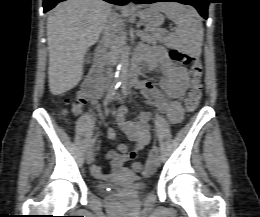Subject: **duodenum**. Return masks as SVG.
I'll return each mask as SVG.
<instances>
[{
  "label": "duodenum",
  "instance_id": "duodenum-1",
  "mask_svg": "<svg viewBox=\"0 0 260 217\" xmlns=\"http://www.w3.org/2000/svg\"><path fill=\"white\" fill-rule=\"evenodd\" d=\"M141 68L135 62L132 66V70L127 76L126 82L130 85H134L139 80ZM103 74L102 65H96L95 68L90 72L89 76L83 82L81 92L85 95H92L95 93H101L103 90V80L100 76Z\"/></svg>",
  "mask_w": 260,
  "mask_h": 217
}]
</instances>
